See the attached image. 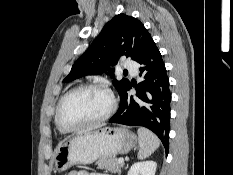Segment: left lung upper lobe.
Returning <instances> with one entry per match:
<instances>
[{"mask_svg":"<svg viewBox=\"0 0 233 175\" xmlns=\"http://www.w3.org/2000/svg\"><path fill=\"white\" fill-rule=\"evenodd\" d=\"M154 41L144 25L132 16L119 14L106 23L87 51L75 62L63 82H70L85 75H98L114 66L125 55L139 62L145 57ZM114 69L109 70L113 75ZM127 79L113 80L121 96L128 88Z\"/></svg>","mask_w":233,"mask_h":175,"instance_id":"1","label":"left lung upper lobe"}]
</instances>
